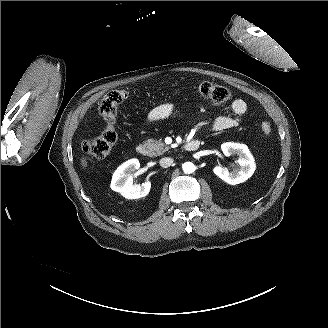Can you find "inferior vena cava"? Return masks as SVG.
<instances>
[{
    "label": "inferior vena cava",
    "mask_w": 328,
    "mask_h": 328,
    "mask_svg": "<svg viewBox=\"0 0 328 328\" xmlns=\"http://www.w3.org/2000/svg\"><path fill=\"white\" fill-rule=\"evenodd\" d=\"M172 163H173V158L164 157V158L160 159V166L163 168H167V167L171 166Z\"/></svg>",
    "instance_id": "602c4592"
}]
</instances>
